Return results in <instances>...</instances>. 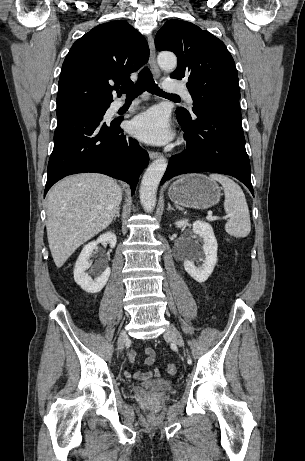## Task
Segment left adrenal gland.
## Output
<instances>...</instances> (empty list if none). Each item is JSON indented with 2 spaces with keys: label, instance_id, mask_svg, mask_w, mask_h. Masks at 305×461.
Returning a JSON list of instances; mask_svg holds the SVG:
<instances>
[{
  "label": "left adrenal gland",
  "instance_id": "1",
  "mask_svg": "<svg viewBox=\"0 0 305 461\" xmlns=\"http://www.w3.org/2000/svg\"><path fill=\"white\" fill-rule=\"evenodd\" d=\"M171 210H175V209L171 207V204H170V203H168L167 211H171Z\"/></svg>",
  "mask_w": 305,
  "mask_h": 461
}]
</instances>
